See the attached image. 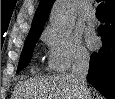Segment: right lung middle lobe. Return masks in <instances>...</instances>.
Segmentation results:
<instances>
[{
  "mask_svg": "<svg viewBox=\"0 0 115 99\" xmlns=\"http://www.w3.org/2000/svg\"><path fill=\"white\" fill-rule=\"evenodd\" d=\"M40 35L41 34H34V35H29L27 37L24 48L21 53L17 72L21 71L23 68H25L29 64L32 57L33 49Z\"/></svg>",
  "mask_w": 115,
  "mask_h": 99,
  "instance_id": "obj_1",
  "label": "right lung middle lobe"
}]
</instances>
